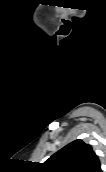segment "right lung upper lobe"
Segmentation results:
<instances>
[{
  "instance_id": "obj_1",
  "label": "right lung upper lobe",
  "mask_w": 106,
  "mask_h": 172,
  "mask_svg": "<svg viewBox=\"0 0 106 172\" xmlns=\"http://www.w3.org/2000/svg\"><path fill=\"white\" fill-rule=\"evenodd\" d=\"M47 172H103L91 145L75 140L52 155L45 163Z\"/></svg>"
}]
</instances>
